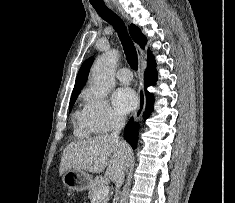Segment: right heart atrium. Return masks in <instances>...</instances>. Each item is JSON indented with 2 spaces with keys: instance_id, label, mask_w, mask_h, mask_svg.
Returning <instances> with one entry per match:
<instances>
[{
  "instance_id": "obj_1",
  "label": "right heart atrium",
  "mask_w": 235,
  "mask_h": 203,
  "mask_svg": "<svg viewBox=\"0 0 235 203\" xmlns=\"http://www.w3.org/2000/svg\"><path fill=\"white\" fill-rule=\"evenodd\" d=\"M85 101V110L96 132L106 133L123 123L124 117L116 112L105 98L88 90L85 93Z\"/></svg>"
}]
</instances>
